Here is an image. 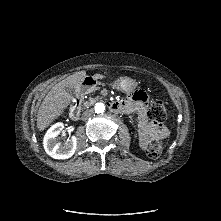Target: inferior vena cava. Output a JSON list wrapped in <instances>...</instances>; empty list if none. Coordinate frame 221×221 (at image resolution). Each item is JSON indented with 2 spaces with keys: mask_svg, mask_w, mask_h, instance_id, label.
<instances>
[{
  "mask_svg": "<svg viewBox=\"0 0 221 221\" xmlns=\"http://www.w3.org/2000/svg\"><path fill=\"white\" fill-rule=\"evenodd\" d=\"M93 114H94V110H93V109H88V110H86V111L83 112L81 119H82V120H87V119L90 118Z\"/></svg>",
  "mask_w": 221,
  "mask_h": 221,
  "instance_id": "obj_1",
  "label": "inferior vena cava"
}]
</instances>
